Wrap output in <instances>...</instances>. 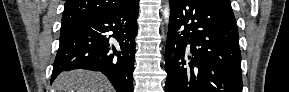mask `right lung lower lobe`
I'll return each instance as SVG.
<instances>
[{"mask_svg":"<svg viewBox=\"0 0 289 92\" xmlns=\"http://www.w3.org/2000/svg\"><path fill=\"white\" fill-rule=\"evenodd\" d=\"M139 0L77 23L60 35L51 83L62 71L102 72L117 92H133Z\"/></svg>","mask_w":289,"mask_h":92,"instance_id":"right-lung-lower-lobe-1","label":"right lung lower lobe"}]
</instances>
